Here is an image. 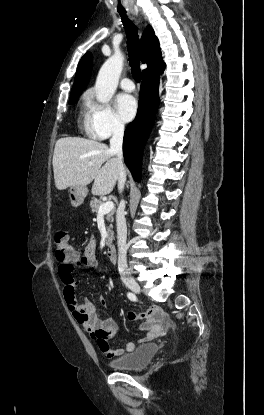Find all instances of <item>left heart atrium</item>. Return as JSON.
<instances>
[{
	"mask_svg": "<svg viewBox=\"0 0 264 415\" xmlns=\"http://www.w3.org/2000/svg\"><path fill=\"white\" fill-rule=\"evenodd\" d=\"M116 107L122 120L130 121L136 114L137 102L131 95L120 94L116 99Z\"/></svg>",
	"mask_w": 264,
	"mask_h": 415,
	"instance_id": "39dd6f15",
	"label": "left heart atrium"
}]
</instances>
